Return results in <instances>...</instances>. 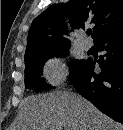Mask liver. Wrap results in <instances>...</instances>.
Instances as JSON below:
<instances>
[{"label":"liver","mask_w":123,"mask_h":130,"mask_svg":"<svg viewBox=\"0 0 123 130\" xmlns=\"http://www.w3.org/2000/svg\"><path fill=\"white\" fill-rule=\"evenodd\" d=\"M118 123L68 91L31 95L19 105L10 130H120Z\"/></svg>","instance_id":"obj_1"}]
</instances>
